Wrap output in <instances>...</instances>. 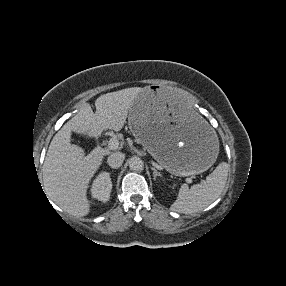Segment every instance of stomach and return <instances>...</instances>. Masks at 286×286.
Returning a JSON list of instances; mask_svg holds the SVG:
<instances>
[{
  "label": "stomach",
  "instance_id": "stomach-1",
  "mask_svg": "<svg viewBox=\"0 0 286 286\" xmlns=\"http://www.w3.org/2000/svg\"><path fill=\"white\" fill-rule=\"evenodd\" d=\"M133 136L176 176L200 174L218 155V135L204 116L163 86H147L129 110Z\"/></svg>",
  "mask_w": 286,
  "mask_h": 286
}]
</instances>
